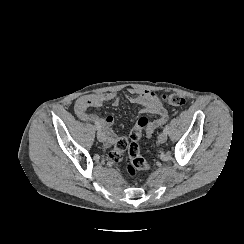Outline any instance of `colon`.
<instances>
[{
  "mask_svg": "<svg viewBox=\"0 0 244 244\" xmlns=\"http://www.w3.org/2000/svg\"><path fill=\"white\" fill-rule=\"evenodd\" d=\"M164 103L175 106L184 107L187 103L186 98L175 92H165L162 94ZM149 124V118L145 115L141 116L130 131V141L126 137H119L114 142L112 149L108 153V161L111 163H119L123 160L127 151L129 162L125 166V171L129 177L134 178L139 171L149 167L148 161L142 156L139 140L143 135V130Z\"/></svg>",
  "mask_w": 244,
  "mask_h": 244,
  "instance_id": "obj_1",
  "label": "colon"
}]
</instances>
